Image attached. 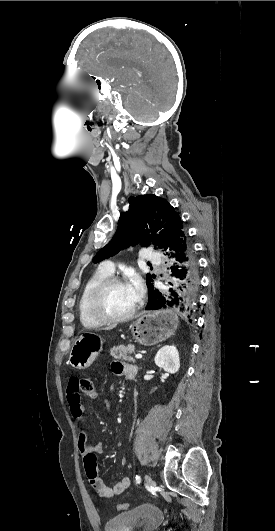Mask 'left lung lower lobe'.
I'll return each instance as SVG.
<instances>
[{"label":"left lung lower lobe","mask_w":275,"mask_h":531,"mask_svg":"<svg viewBox=\"0 0 275 531\" xmlns=\"http://www.w3.org/2000/svg\"><path fill=\"white\" fill-rule=\"evenodd\" d=\"M166 254L172 259L170 267L172 282L167 290L156 291L152 297L148 296L147 310L175 309L185 317L191 318L198 306V292L200 287L199 268L193 250L183 225L180 224L171 236Z\"/></svg>","instance_id":"left-lung-lower-lobe-1"}]
</instances>
